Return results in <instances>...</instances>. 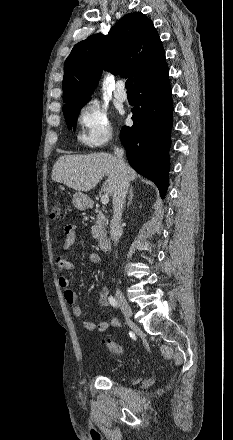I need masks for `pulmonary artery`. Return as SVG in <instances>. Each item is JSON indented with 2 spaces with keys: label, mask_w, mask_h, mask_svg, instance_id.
<instances>
[{
  "label": "pulmonary artery",
  "mask_w": 233,
  "mask_h": 440,
  "mask_svg": "<svg viewBox=\"0 0 233 440\" xmlns=\"http://www.w3.org/2000/svg\"><path fill=\"white\" fill-rule=\"evenodd\" d=\"M114 96L120 102L126 101L127 94L123 91V85L121 82H118L116 84V88L114 90Z\"/></svg>",
  "instance_id": "1"
}]
</instances>
